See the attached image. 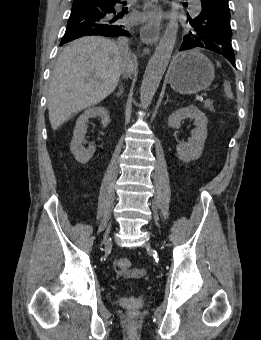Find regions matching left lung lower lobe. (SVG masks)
<instances>
[{"mask_svg": "<svg viewBox=\"0 0 261 340\" xmlns=\"http://www.w3.org/2000/svg\"><path fill=\"white\" fill-rule=\"evenodd\" d=\"M200 10V14L194 20L188 19L190 24H192V22L204 24L213 21L216 16H219V19H230L228 0H201ZM200 45L198 36L187 35L184 36L180 51L201 47ZM223 56L235 67V54L233 49L226 51Z\"/></svg>", "mask_w": 261, "mask_h": 340, "instance_id": "left-lung-lower-lobe-1", "label": "left lung lower lobe"}]
</instances>
